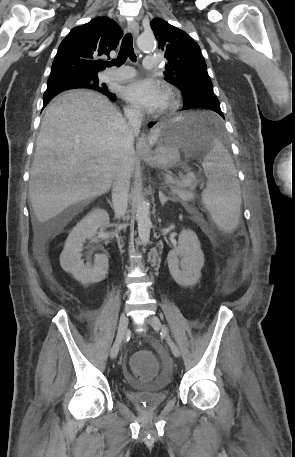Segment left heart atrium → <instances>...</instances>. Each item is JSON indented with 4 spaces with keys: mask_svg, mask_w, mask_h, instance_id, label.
<instances>
[{
    "mask_svg": "<svg viewBox=\"0 0 295 457\" xmlns=\"http://www.w3.org/2000/svg\"><path fill=\"white\" fill-rule=\"evenodd\" d=\"M123 97L131 105L146 111H156L163 104V87L152 79H136L123 89Z\"/></svg>",
    "mask_w": 295,
    "mask_h": 457,
    "instance_id": "left-heart-atrium-1",
    "label": "left heart atrium"
}]
</instances>
